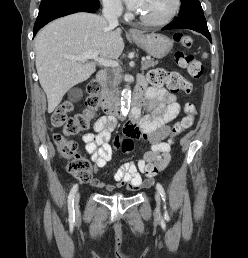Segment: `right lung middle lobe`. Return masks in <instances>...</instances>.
Returning <instances> with one entry per match:
<instances>
[{
	"label": "right lung middle lobe",
	"mask_w": 248,
	"mask_h": 258,
	"mask_svg": "<svg viewBox=\"0 0 248 258\" xmlns=\"http://www.w3.org/2000/svg\"><path fill=\"white\" fill-rule=\"evenodd\" d=\"M71 1H76V0H42L39 10H42L44 8H47L55 4L71 2Z\"/></svg>",
	"instance_id": "obj_1"
}]
</instances>
